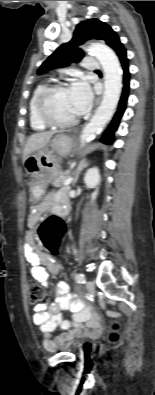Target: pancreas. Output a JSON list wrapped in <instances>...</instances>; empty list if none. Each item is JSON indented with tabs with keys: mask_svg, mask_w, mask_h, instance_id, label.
Returning <instances> with one entry per match:
<instances>
[{
	"mask_svg": "<svg viewBox=\"0 0 155 395\" xmlns=\"http://www.w3.org/2000/svg\"><path fill=\"white\" fill-rule=\"evenodd\" d=\"M71 175V172L66 171L64 173H59L56 177L51 179V184L54 187H60L63 185L66 179H68Z\"/></svg>",
	"mask_w": 155,
	"mask_h": 395,
	"instance_id": "1",
	"label": "pancreas"
}]
</instances>
